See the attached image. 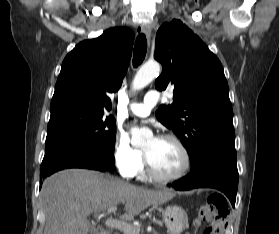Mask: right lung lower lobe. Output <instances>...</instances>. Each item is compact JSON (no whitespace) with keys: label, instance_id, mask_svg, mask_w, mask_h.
Here are the masks:
<instances>
[{"label":"right lung lower lobe","instance_id":"obj_1","mask_svg":"<svg viewBox=\"0 0 279 234\" xmlns=\"http://www.w3.org/2000/svg\"><path fill=\"white\" fill-rule=\"evenodd\" d=\"M66 168H87L99 171L110 169L106 163L87 150L76 146H65L45 154L40 167V188L47 176Z\"/></svg>","mask_w":279,"mask_h":234}]
</instances>
